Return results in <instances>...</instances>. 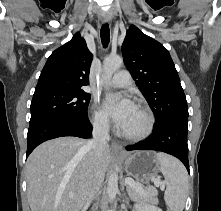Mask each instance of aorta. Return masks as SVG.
Returning <instances> with one entry per match:
<instances>
[{"instance_id":"762f6f07","label":"aorta","mask_w":221,"mask_h":211,"mask_svg":"<svg viewBox=\"0 0 221 211\" xmlns=\"http://www.w3.org/2000/svg\"><path fill=\"white\" fill-rule=\"evenodd\" d=\"M123 65V59L119 56L108 57L103 64V80L106 84L110 81L113 73ZM118 191V174L112 172L108 179L107 193L109 199L113 201Z\"/></svg>"}]
</instances>
